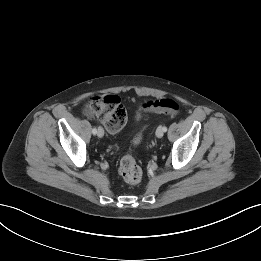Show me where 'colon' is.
Instances as JSON below:
<instances>
[{
  "instance_id": "1",
  "label": "colon",
  "mask_w": 261,
  "mask_h": 261,
  "mask_svg": "<svg viewBox=\"0 0 261 261\" xmlns=\"http://www.w3.org/2000/svg\"><path fill=\"white\" fill-rule=\"evenodd\" d=\"M154 112L175 115L179 111L177 102L161 99L147 103ZM85 113L98 117L110 132H118L126 123L127 112L116 95L93 97L85 107ZM119 174L128 184H137L142 179V169L131 154L125 155L119 164Z\"/></svg>"
}]
</instances>
